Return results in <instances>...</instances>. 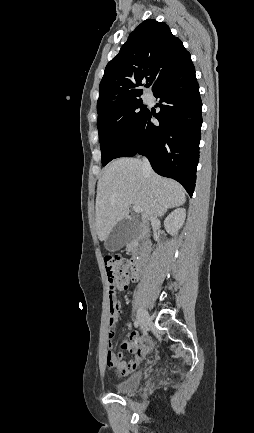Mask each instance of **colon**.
I'll list each match as a JSON object with an SVG mask.
<instances>
[{"label": "colon", "mask_w": 254, "mask_h": 433, "mask_svg": "<svg viewBox=\"0 0 254 433\" xmlns=\"http://www.w3.org/2000/svg\"><path fill=\"white\" fill-rule=\"evenodd\" d=\"M104 266L110 292H112L115 286L122 287L129 283L131 265L126 258L119 255L106 256L104 258ZM111 305L113 306L114 303H111Z\"/></svg>", "instance_id": "1"}]
</instances>
